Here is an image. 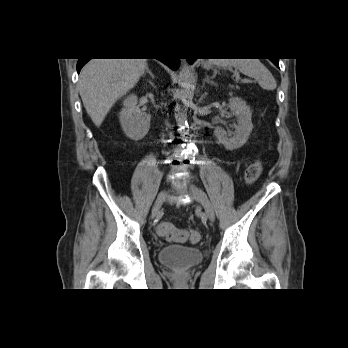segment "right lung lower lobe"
Returning a JSON list of instances; mask_svg holds the SVG:
<instances>
[{"label":"right lung lower lobe","instance_id":"1","mask_svg":"<svg viewBox=\"0 0 348 348\" xmlns=\"http://www.w3.org/2000/svg\"><path fill=\"white\" fill-rule=\"evenodd\" d=\"M167 66H169L173 70H177L179 68V59L178 58H167V59H159ZM89 61V59H79L77 63V71L80 72L81 68Z\"/></svg>","mask_w":348,"mask_h":348}]
</instances>
